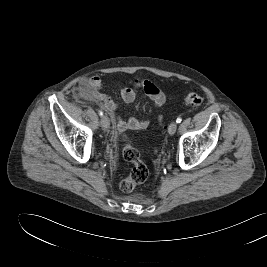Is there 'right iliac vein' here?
Segmentation results:
<instances>
[{
  "mask_svg": "<svg viewBox=\"0 0 267 267\" xmlns=\"http://www.w3.org/2000/svg\"><path fill=\"white\" fill-rule=\"evenodd\" d=\"M110 126V121L107 116H102L101 118V127L103 130H107Z\"/></svg>",
  "mask_w": 267,
  "mask_h": 267,
  "instance_id": "63e3f726",
  "label": "right iliac vein"
}]
</instances>
